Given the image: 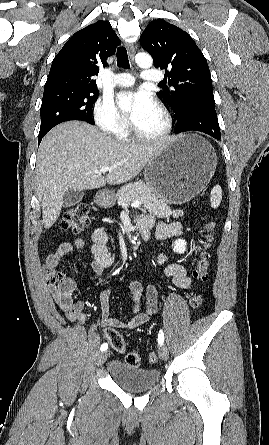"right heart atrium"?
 Listing matches in <instances>:
<instances>
[{
    "label": "right heart atrium",
    "mask_w": 269,
    "mask_h": 445,
    "mask_svg": "<svg viewBox=\"0 0 269 445\" xmlns=\"http://www.w3.org/2000/svg\"><path fill=\"white\" fill-rule=\"evenodd\" d=\"M96 125L105 133L122 137L128 133L129 122L109 96L99 98L93 108Z\"/></svg>",
    "instance_id": "obj_1"
}]
</instances>
